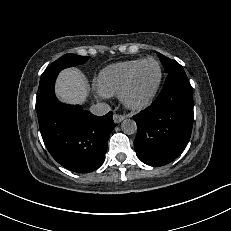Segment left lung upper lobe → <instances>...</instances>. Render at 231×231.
Masks as SVG:
<instances>
[{"label":"left lung upper lobe","instance_id":"left-lung-upper-lobe-1","mask_svg":"<svg viewBox=\"0 0 231 231\" xmlns=\"http://www.w3.org/2000/svg\"><path fill=\"white\" fill-rule=\"evenodd\" d=\"M157 55L165 69L166 73L171 72L172 70L178 69V68H183L178 62L169 59L167 57H165L164 55L160 54L157 52Z\"/></svg>","mask_w":231,"mask_h":231}]
</instances>
